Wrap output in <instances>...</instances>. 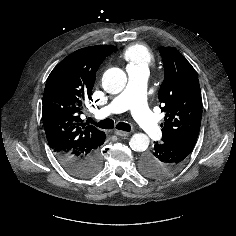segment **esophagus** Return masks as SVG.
<instances>
[{"instance_id":"1","label":"esophagus","mask_w":236,"mask_h":236,"mask_svg":"<svg viewBox=\"0 0 236 236\" xmlns=\"http://www.w3.org/2000/svg\"><path fill=\"white\" fill-rule=\"evenodd\" d=\"M115 134L120 136V137H126L128 136L130 133L129 132H125V131H121V130H116Z\"/></svg>"}]
</instances>
